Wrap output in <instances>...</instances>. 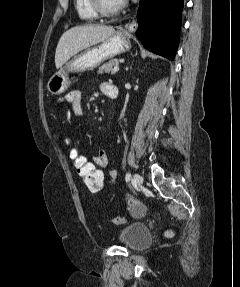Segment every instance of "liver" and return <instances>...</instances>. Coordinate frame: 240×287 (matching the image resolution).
<instances>
[{"label":"liver","mask_w":240,"mask_h":287,"mask_svg":"<svg viewBox=\"0 0 240 287\" xmlns=\"http://www.w3.org/2000/svg\"><path fill=\"white\" fill-rule=\"evenodd\" d=\"M115 32L112 26L86 24L75 26L61 36L56 52V68L62 67L72 56L79 51L95 45L110 37Z\"/></svg>","instance_id":"1"}]
</instances>
